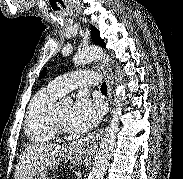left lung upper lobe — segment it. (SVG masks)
Returning <instances> with one entry per match:
<instances>
[{"mask_svg":"<svg viewBox=\"0 0 183 179\" xmlns=\"http://www.w3.org/2000/svg\"><path fill=\"white\" fill-rule=\"evenodd\" d=\"M91 32H92L91 33L92 41L97 45L105 46V42L100 38L99 30L95 27H92ZM45 74H46V68H44L41 71L39 78H43L45 76Z\"/></svg>","mask_w":183,"mask_h":179,"instance_id":"5c2ea615","label":"left lung upper lobe"}]
</instances>
